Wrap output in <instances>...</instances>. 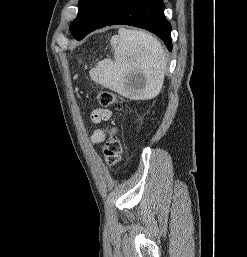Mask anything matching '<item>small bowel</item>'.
<instances>
[{
	"mask_svg": "<svg viewBox=\"0 0 247 257\" xmlns=\"http://www.w3.org/2000/svg\"><path fill=\"white\" fill-rule=\"evenodd\" d=\"M111 116V111L106 110V109H95L92 114H91V119L95 123H99L103 120L109 119ZM105 135L101 130H96L92 137L91 140L93 143H100L104 140Z\"/></svg>",
	"mask_w": 247,
	"mask_h": 257,
	"instance_id": "1",
	"label": "small bowel"
}]
</instances>
